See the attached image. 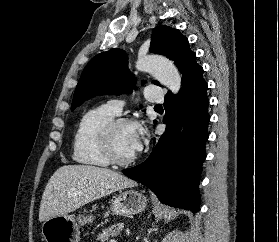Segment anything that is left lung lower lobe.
I'll list each match as a JSON object with an SVG mask.
<instances>
[{
	"instance_id": "obj_1",
	"label": "left lung lower lobe",
	"mask_w": 279,
	"mask_h": 242,
	"mask_svg": "<svg viewBox=\"0 0 279 242\" xmlns=\"http://www.w3.org/2000/svg\"><path fill=\"white\" fill-rule=\"evenodd\" d=\"M181 85L176 96L168 92L165 97L166 132L151 155L143 163L122 172L150 188L163 204L196 213L210 116L208 86L195 54L184 66Z\"/></svg>"
}]
</instances>
